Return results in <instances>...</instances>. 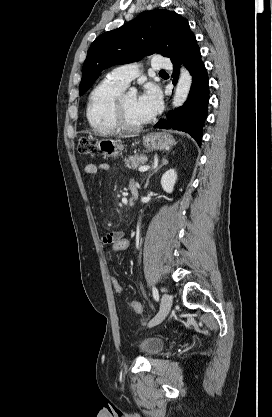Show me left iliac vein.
<instances>
[{"mask_svg":"<svg viewBox=\"0 0 272 417\" xmlns=\"http://www.w3.org/2000/svg\"><path fill=\"white\" fill-rule=\"evenodd\" d=\"M173 299L171 295L164 293L161 299V307L159 313L148 323V327H153L161 323L168 315Z\"/></svg>","mask_w":272,"mask_h":417,"instance_id":"4c4485c4","label":"left iliac vein"}]
</instances>
